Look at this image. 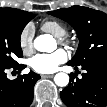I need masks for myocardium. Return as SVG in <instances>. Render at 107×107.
Segmentation results:
<instances>
[{
    "mask_svg": "<svg viewBox=\"0 0 107 107\" xmlns=\"http://www.w3.org/2000/svg\"><path fill=\"white\" fill-rule=\"evenodd\" d=\"M58 42L60 45L65 46L67 48H74L75 47V40L69 36H62L58 38Z\"/></svg>",
    "mask_w": 107,
    "mask_h": 107,
    "instance_id": "myocardium-1",
    "label": "myocardium"
}]
</instances>
